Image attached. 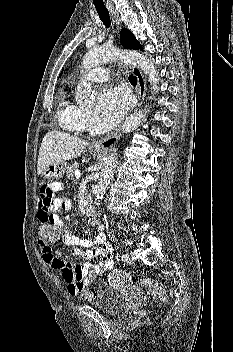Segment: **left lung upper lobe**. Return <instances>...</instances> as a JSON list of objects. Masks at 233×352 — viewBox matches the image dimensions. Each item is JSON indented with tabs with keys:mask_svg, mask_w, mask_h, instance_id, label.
<instances>
[{
	"mask_svg": "<svg viewBox=\"0 0 233 352\" xmlns=\"http://www.w3.org/2000/svg\"><path fill=\"white\" fill-rule=\"evenodd\" d=\"M120 43L126 49L142 50V46L135 36L126 28H122L120 32Z\"/></svg>",
	"mask_w": 233,
	"mask_h": 352,
	"instance_id": "left-lung-upper-lobe-1",
	"label": "left lung upper lobe"
}]
</instances>
